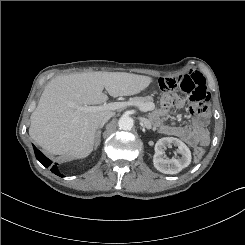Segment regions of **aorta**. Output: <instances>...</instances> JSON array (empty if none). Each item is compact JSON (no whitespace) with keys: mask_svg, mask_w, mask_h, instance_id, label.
I'll list each match as a JSON object with an SVG mask.
<instances>
[{"mask_svg":"<svg viewBox=\"0 0 245 245\" xmlns=\"http://www.w3.org/2000/svg\"><path fill=\"white\" fill-rule=\"evenodd\" d=\"M133 125H134V120L128 116H122L118 120V126L122 130H126V131L131 130L133 128Z\"/></svg>","mask_w":245,"mask_h":245,"instance_id":"1","label":"aorta"}]
</instances>
